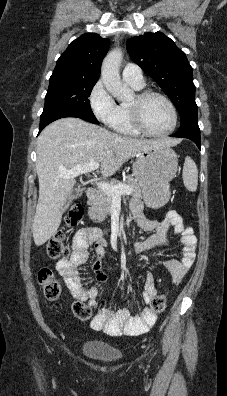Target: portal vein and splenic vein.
Listing matches in <instances>:
<instances>
[{
	"mask_svg": "<svg viewBox=\"0 0 227 396\" xmlns=\"http://www.w3.org/2000/svg\"><path fill=\"white\" fill-rule=\"evenodd\" d=\"M100 164L98 162H90L85 164H79L69 171H63L60 173L62 178H74L80 174L94 171L98 169ZM98 187L103 190L106 194L112 197H119L123 194H132V189L127 185H112L107 182H99Z\"/></svg>",
	"mask_w": 227,
	"mask_h": 396,
	"instance_id": "18ae733b",
	"label": "portal vein and splenic vein"
}]
</instances>
